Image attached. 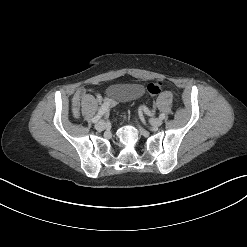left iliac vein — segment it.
Instances as JSON below:
<instances>
[{"label":"left iliac vein","mask_w":247,"mask_h":247,"mask_svg":"<svg viewBox=\"0 0 247 247\" xmlns=\"http://www.w3.org/2000/svg\"><path fill=\"white\" fill-rule=\"evenodd\" d=\"M150 124L152 125V127H159L162 124V119L153 118L150 120Z\"/></svg>","instance_id":"1"}]
</instances>
